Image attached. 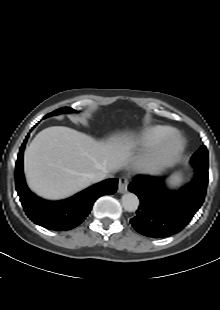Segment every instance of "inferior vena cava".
<instances>
[{"label": "inferior vena cava", "mask_w": 220, "mask_h": 310, "mask_svg": "<svg viewBox=\"0 0 220 310\" xmlns=\"http://www.w3.org/2000/svg\"><path fill=\"white\" fill-rule=\"evenodd\" d=\"M107 171H97L88 175V178L91 182L96 183L107 177Z\"/></svg>", "instance_id": "602c4592"}]
</instances>
